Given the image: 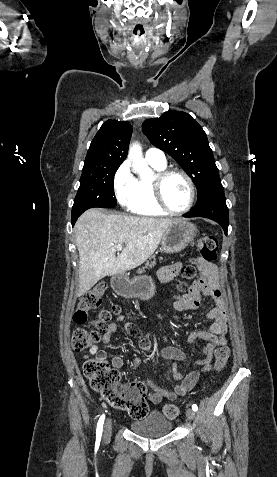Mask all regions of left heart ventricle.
I'll return each instance as SVG.
<instances>
[{"label":"left heart ventricle","mask_w":277,"mask_h":477,"mask_svg":"<svg viewBox=\"0 0 277 477\" xmlns=\"http://www.w3.org/2000/svg\"><path fill=\"white\" fill-rule=\"evenodd\" d=\"M163 194L166 203L173 210L183 209L189 200V186L184 177L170 176L164 183Z\"/></svg>","instance_id":"b2bd125f"}]
</instances>
